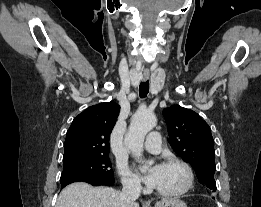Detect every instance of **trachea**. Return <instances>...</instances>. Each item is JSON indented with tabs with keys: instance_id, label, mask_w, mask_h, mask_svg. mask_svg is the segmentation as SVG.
<instances>
[{
	"instance_id": "3493384b",
	"label": "trachea",
	"mask_w": 261,
	"mask_h": 207,
	"mask_svg": "<svg viewBox=\"0 0 261 207\" xmlns=\"http://www.w3.org/2000/svg\"><path fill=\"white\" fill-rule=\"evenodd\" d=\"M149 92V81L141 82L139 86V95L141 98H145Z\"/></svg>"
}]
</instances>
